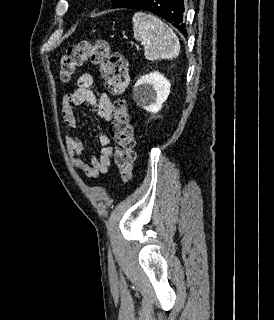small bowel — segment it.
<instances>
[{
  "instance_id": "small-bowel-1",
  "label": "small bowel",
  "mask_w": 274,
  "mask_h": 320,
  "mask_svg": "<svg viewBox=\"0 0 274 320\" xmlns=\"http://www.w3.org/2000/svg\"><path fill=\"white\" fill-rule=\"evenodd\" d=\"M92 85V74L90 72H83L78 77L77 88L73 92L63 96L61 101L62 116L69 128L76 129L78 126L73 105L80 106L87 104L96 111L103 121L109 122L112 119L113 110L110 97L105 93L97 97L92 90ZM98 142L101 147L100 155L98 157H91L90 163H87L83 158L84 144L82 139L75 135H65V147L72 165L92 179L108 171L111 165V158L114 154L110 137L105 132H99Z\"/></svg>"
}]
</instances>
